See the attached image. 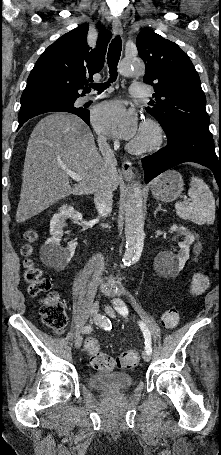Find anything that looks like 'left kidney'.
<instances>
[{
    "label": "left kidney",
    "instance_id": "1",
    "mask_svg": "<svg viewBox=\"0 0 221 455\" xmlns=\"http://www.w3.org/2000/svg\"><path fill=\"white\" fill-rule=\"evenodd\" d=\"M170 230L185 236L184 241L178 244L180 247L178 255H173L169 252H160L155 258V264L161 272L176 273L183 269L186 261L189 259V248L194 242V236L183 226L173 225Z\"/></svg>",
    "mask_w": 221,
    "mask_h": 455
}]
</instances>
